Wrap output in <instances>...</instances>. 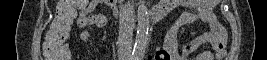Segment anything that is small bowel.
Masks as SVG:
<instances>
[{
    "mask_svg": "<svg viewBox=\"0 0 267 60\" xmlns=\"http://www.w3.org/2000/svg\"><path fill=\"white\" fill-rule=\"evenodd\" d=\"M102 0L87 2L85 6L78 7L77 22L83 21L85 27L80 33L81 41H87L94 26H103L106 18L103 14L95 13L97 7L104 4ZM216 0H166L159 5L169 9L176 5L187 8L178 20L171 26L164 39V49L154 54H149L147 60H189L193 53L203 44L211 46L210 51H203L194 56L195 60L223 59L227 43V32L214 14ZM201 21L209 26V31L201 34L186 44L181 49L178 46L180 30L193 22Z\"/></svg>",
    "mask_w": 267,
    "mask_h": 60,
    "instance_id": "1",
    "label": "small bowel"
}]
</instances>
